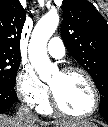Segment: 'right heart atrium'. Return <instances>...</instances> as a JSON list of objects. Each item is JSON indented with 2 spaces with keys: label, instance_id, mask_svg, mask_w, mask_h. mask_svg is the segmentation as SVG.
I'll list each match as a JSON object with an SVG mask.
<instances>
[{
  "label": "right heart atrium",
  "instance_id": "obj_1",
  "mask_svg": "<svg viewBox=\"0 0 108 127\" xmlns=\"http://www.w3.org/2000/svg\"><path fill=\"white\" fill-rule=\"evenodd\" d=\"M19 98L29 105L42 103L48 95V88L43 84L31 66L23 64L19 67L15 80Z\"/></svg>",
  "mask_w": 108,
  "mask_h": 127
}]
</instances>
